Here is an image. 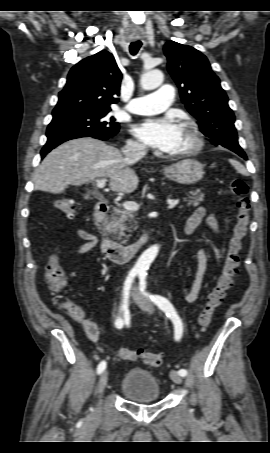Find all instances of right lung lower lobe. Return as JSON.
Listing matches in <instances>:
<instances>
[{"instance_id":"right-lung-lower-lobe-1","label":"right lung lower lobe","mask_w":270,"mask_h":453,"mask_svg":"<svg viewBox=\"0 0 270 453\" xmlns=\"http://www.w3.org/2000/svg\"><path fill=\"white\" fill-rule=\"evenodd\" d=\"M47 143L41 150V157L43 158L48 152L59 144L76 138L81 137H93L100 140H107L113 136H104L102 134L92 133V132H76V131H49L47 132Z\"/></svg>"}]
</instances>
